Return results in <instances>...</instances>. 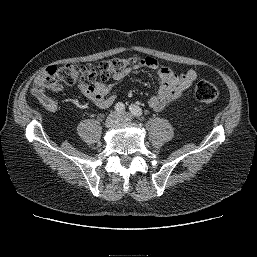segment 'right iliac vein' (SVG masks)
I'll return each mask as SVG.
<instances>
[{"label":"right iliac vein","instance_id":"obj_1","mask_svg":"<svg viewBox=\"0 0 257 257\" xmlns=\"http://www.w3.org/2000/svg\"><path fill=\"white\" fill-rule=\"evenodd\" d=\"M120 121V116L117 113H111L105 120V127L110 128L115 126Z\"/></svg>","mask_w":257,"mask_h":257}]
</instances>
